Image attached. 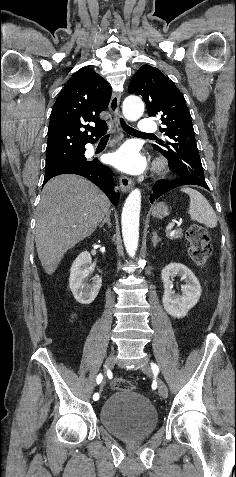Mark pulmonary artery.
Listing matches in <instances>:
<instances>
[{
    "label": "pulmonary artery",
    "mask_w": 236,
    "mask_h": 477,
    "mask_svg": "<svg viewBox=\"0 0 236 477\" xmlns=\"http://www.w3.org/2000/svg\"><path fill=\"white\" fill-rule=\"evenodd\" d=\"M137 130L141 133L151 134V133H154L157 130V125L152 120L142 119L138 124V129Z\"/></svg>",
    "instance_id": "1"
}]
</instances>
